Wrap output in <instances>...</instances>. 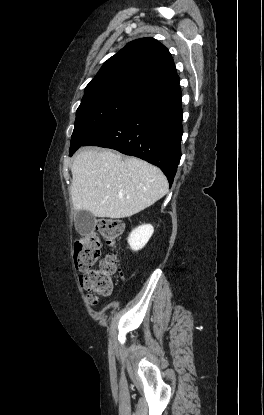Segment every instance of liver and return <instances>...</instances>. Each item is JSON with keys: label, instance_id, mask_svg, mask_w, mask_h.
Returning a JSON list of instances; mask_svg holds the SVG:
<instances>
[{"label": "liver", "instance_id": "1", "mask_svg": "<svg viewBox=\"0 0 264 415\" xmlns=\"http://www.w3.org/2000/svg\"><path fill=\"white\" fill-rule=\"evenodd\" d=\"M71 172L74 210L95 217H130L168 192V181L158 167L108 149L81 148Z\"/></svg>", "mask_w": 264, "mask_h": 415}]
</instances>
